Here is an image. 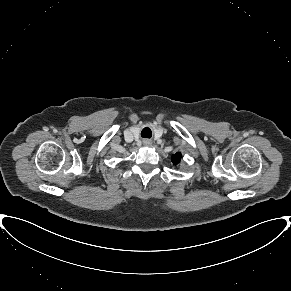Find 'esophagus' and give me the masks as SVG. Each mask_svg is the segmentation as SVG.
<instances>
[{"mask_svg": "<svg viewBox=\"0 0 291 291\" xmlns=\"http://www.w3.org/2000/svg\"><path fill=\"white\" fill-rule=\"evenodd\" d=\"M143 144H144L145 146H150V145L152 144V142H151V140H149V139H144V140H143Z\"/></svg>", "mask_w": 291, "mask_h": 291, "instance_id": "1", "label": "esophagus"}]
</instances>
